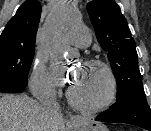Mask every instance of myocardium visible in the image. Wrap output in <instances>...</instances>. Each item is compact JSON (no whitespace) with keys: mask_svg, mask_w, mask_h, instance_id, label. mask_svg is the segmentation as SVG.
Here are the masks:
<instances>
[{"mask_svg":"<svg viewBox=\"0 0 151 131\" xmlns=\"http://www.w3.org/2000/svg\"><path fill=\"white\" fill-rule=\"evenodd\" d=\"M84 66L97 67L105 73L108 82L107 92L103 99H101L100 101L95 103H87L75 97L73 92L71 90H68V101L73 107L82 112L99 113L105 111L114 103L117 97V80L114 75V72L107 63L98 59L87 60L84 62Z\"/></svg>","mask_w":151,"mask_h":131,"instance_id":"obj_1","label":"myocardium"}]
</instances>
